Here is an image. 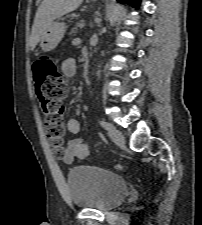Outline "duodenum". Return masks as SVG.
<instances>
[{"instance_id":"duodenum-1","label":"duodenum","mask_w":202,"mask_h":225,"mask_svg":"<svg viewBox=\"0 0 202 225\" xmlns=\"http://www.w3.org/2000/svg\"><path fill=\"white\" fill-rule=\"evenodd\" d=\"M82 66H83V73L86 75L90 68V59L89 55L85 52L82 53Z\"/></svg>"}]
</instances>
